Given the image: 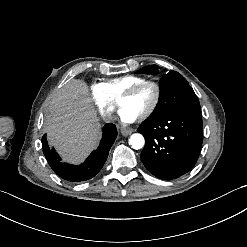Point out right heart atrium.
Returning a JSON list of instances; mask_svg holds the SVG:
<instances>
[{
  "mask_svg": "<svg viewBox=\"0 0 247 247\" xmlns=\"http://www.w3.org/2000/svg\"><path fill=\"white\" fill-rule=\"evenodd\" d=\"M94 102L102 115H107L113 110V101L107 92L106 87L101 83H96L91 88Z\"/></svg>",
  "mask_w": 247,
  "mask_h": 247,
  "instance_id": "obj_1",
  "label": "right heart atrium"
}]
</instances>
